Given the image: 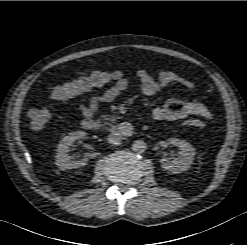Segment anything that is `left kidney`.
I'll use <instances>...</instances> for the list:
<instances>
[{"label":"left kidney","instance_id":"5707ae66","mask_svg":"<svg viewBox=\"0 0 247 245\" xmlns=\"http://www.w3.org/2000/svg\"><path fill=\"white\" fill-rule=\"evenodd\" d=\"M167 142L177 146L180 152L178 157L173 160L162 158V168L174 174L187 171L194 160L195 148L190 143L177 138H169Z\"/></svg>","mask_w":247,"mask_h":245}]
</instances>
